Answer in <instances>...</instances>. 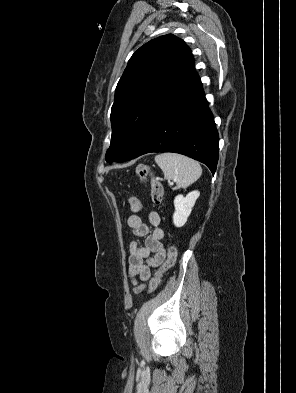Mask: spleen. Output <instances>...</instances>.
I'll list each match as a JSON object with an SVG mask.
<instances>
[{
  "label": "spleen",
  "mask_w": 296,
  "mask_h": 393,
  "mask_svg": "<svg viewBox=\"0 0 296 393\" xmlns=\"http://www.w3.org/2000/svg\"><path fill=\"white\" fill-rule=\"evenodd\" d=\"M165 179L174 180L179 188H186L197 181L202 168L197 161L176 153H162L155 157Z\"/></svg>",
  "instance_id": "3e777b00"
}]
</instances>
